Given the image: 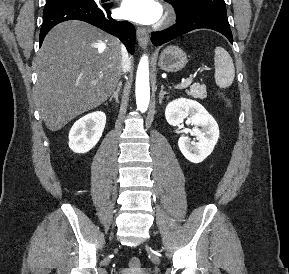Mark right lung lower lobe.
Listing matches in <instances>:
<instances>
[{
    "instance_id": "obj_1",
    "label": "right lung lower lobe",
    "mask_w": 289,
    "mask_h": 274,
    "mask_svg": "<svg viewBox=\"0 0 289 274\" xmlns=\"http://www.w3.org/2000/svg\"><path fill=\"white\" fill-rule=\"evenodd\" d=\"M112 4L96 3L94 0L70 1L45 6L40 30V46L46 34L58 23L81 20L118 37L129 53L135 50V28L127 21H116L111 17Z\"/></svg>"
}]
</instances>
